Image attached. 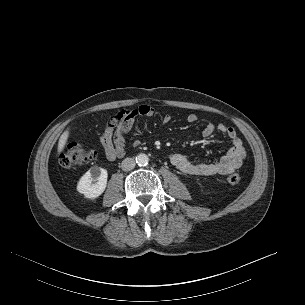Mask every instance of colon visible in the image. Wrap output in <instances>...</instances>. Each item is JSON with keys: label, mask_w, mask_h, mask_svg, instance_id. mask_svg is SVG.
Here are the masks:
<instances>
[{"label": "colon", "mask_w": 305, "mask_h": 305, "mask_svg": "<svg viewBox=\"0 0 305 305\" xmlns=\"http://www.w3.org/2000/svg\"><path fill=\"white\" fill-rule=\"evenodd\" d=\"M96 158V152L87 149L81 143L72 142L67 145L60 155V163L63 167L70 168L83 165ZM241 177L237 173L229 174L226 181L230 185H236L240 182Z\"/></svg>", "instance_id": "1"}]
</instances>
